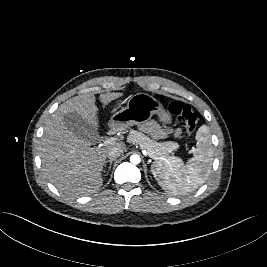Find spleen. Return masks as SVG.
Returning a JSON list of instances; mask_svg holds the SVG:
<instances>
[{
    "label": "spleen",
    "mask_w": 267,
    "mask_h": 267,
    "mask_svg": "<svg viewBox=\"0 0 267 267\" xmlns=\"http://www.w3.org/2000/svg\"><path fill=\"white\" fill-rule=\"evenodd\" d=\"M196 148L187 164L178 158L155 161L152 173L159 185L171 195H186L196 190L208 178L212 161L213 145L210 129L202 125L196 133Z\"/></svg>",
    "instance_id": "spleen-1"
}]
</instances>
